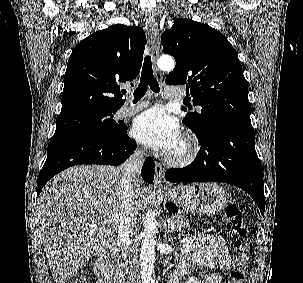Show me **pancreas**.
<instances>
[{
    "label": "pancreas",
    "instance_id": "cf45deb5",
    "mask_svg": "<svg viewBox=\"0 0 303 283\" xmlns=\"http://www.w3.org/2000/svg\"><path fill=\"white\" fill-rule=\"evenodd\" d=\"M171 219H172L173 231L183 230L190 226L189 221L181 215H172Z\"/></svg>",
    "mask_w": 303,
    "mask_h": 283
}]
</instances>
